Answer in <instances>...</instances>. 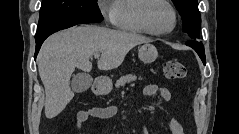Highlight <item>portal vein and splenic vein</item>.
<instances>
[{"instance_id": "portal-vein-and-splenic-vein-1", "label": "portal vein and splenic vein", "mask_w": 239, "mask_h": 134, "mask_svg": "<svg viewBox=\"0 0 239 134\" xmlns=\"http://www.w3.org/2000/svg\"><path fill=\"white\" fill-rule=\"evenodd\" d=\"M99 56H100V53L98 52L94 54V58H99Z\"/></svg>"}]
</instances>
